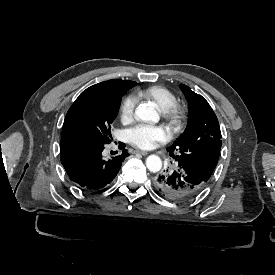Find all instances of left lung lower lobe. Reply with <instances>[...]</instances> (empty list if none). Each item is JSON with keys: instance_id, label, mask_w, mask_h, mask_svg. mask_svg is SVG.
Masks as SVG:
<instances>
[{"instance_id": "obj_1", "label": "left lung lower lobe", "mask_w": 275, "mask_h": 275, "mask_svg": "<svg viewBox=\"0 0 275 275\" xmlns=\"http://www.w3.org/2000/svg\"><path fill=\"white\" fill-rule=\"evenodd\" d=\"M205 184L206 182L182 166L171 173L161 174L154 180L155 188L169 200L191 199L205 187Z\"/></svg>"}]
</instances>
